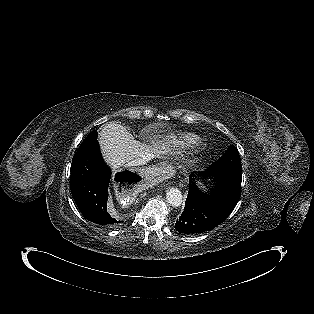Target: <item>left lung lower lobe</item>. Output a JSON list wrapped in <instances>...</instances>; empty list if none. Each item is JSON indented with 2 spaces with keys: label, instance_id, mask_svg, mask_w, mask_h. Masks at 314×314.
Returning a JSON list of instances; mask_svg holds the SVG:
<instances>
[{
  "label": "left lung lower lobe",
  "instance_id": "left-lung-lower-lobe-1",
  "mask_svg": "<svg viewBox=\"0 0 314 314\" xmlns=\"http://www.w3.org/2000/svg\"><path fill=\"white\" fill-rule=\"evenodd\" d=\"M210 178L215 187L210 193L201 192L195 179ZM241 171L211 170L194 172L189 177V192L185 208L175 223V229L183 234L210 231L220 225L232 213L241 196Z\"/></svg>",
  "mask_w": 314,
  "mask_h": 314
}]
</instances>
